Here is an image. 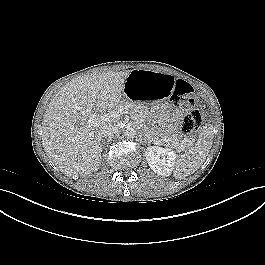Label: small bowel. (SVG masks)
I'll list each match as a JSON object with an SVG mask.
<instances>
[{
    "label": "small bowel",
    "instance_id": "obj_1",
    "mask_svg": "<svg viewBox=\"0 0 265 265\" xmlns=\"http://www.w3.org/2000/svg\"><path fill=\"white\" fill-rule=\"evenodd\" d=\"M185 82H186V81H185ZM181 111H182V108L178 109V110L176 111V115H180Z\"/></svg>",
    "mask_w": 265,
    "mask_h": 265
}]
</instances>
